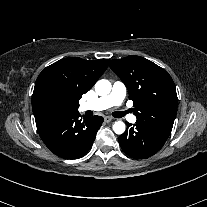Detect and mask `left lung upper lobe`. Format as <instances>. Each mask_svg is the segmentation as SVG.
<instances>
[{"label":"left lung upper lobe","instance_id":"5c2ea615","mask_svg":"<svg viewBox=\"0 0 207 207\" xmlns=\"http://www.w3.org/2000/svg\"><path fill=\"white\" fill-rule=\"evenodd\" d=\"M109 65L128 88L137 121L173 127L177 93L171 76L163 68L135 55L109 60Z\"/></svg>","mask_w":207,"mask_h":207}]
</instances>
